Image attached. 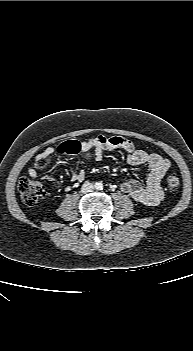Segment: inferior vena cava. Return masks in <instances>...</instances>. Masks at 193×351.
Masks as SVG:
<instances>
[{
	"label": "inferior vena cava",
	"instance_id": "1",
	"mask_svg": "<svg viewBox=\"0 0 193 351\" xmlns=\"http://www.w3.org/2000/svg\"><path fill=\"white\" fill-rule=\"evenodd\" d=\"M93 191H94V185L92 183L85 182L82 185V188H81L82 193L87 194V193H91Z\"/></svg>",
	"mask_w": 193,
	"mask_h": 351
}]
</instances>
